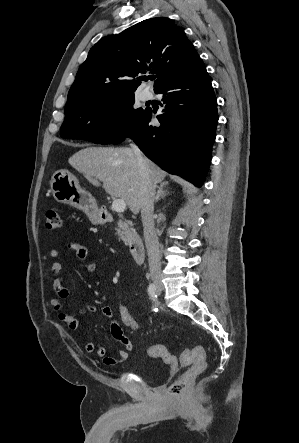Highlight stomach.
Wrapping results in <instances>:
<instances>
[{
    "label": "stomach",
    "mask_w": 299,
    "mask_h": 443,
    "mask_svg": "<svg viewBox=\"0 0 299 443\" xmlns=\"http://www.w3.org/2000/svg\"><path fill=\"white\" fill-rule=\"evenodd\" d=\"M50 187L55 200L85 212L92 223H103L92 195L79 186L77 178L67 170H57L51 177Z\"/></svg>",
    "instance_id": "obj_1"
}]
</instances>
